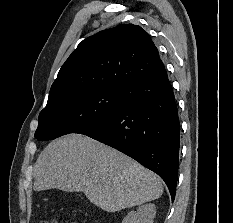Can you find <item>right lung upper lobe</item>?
<instances>
[{
    "label": "right lung upper lobe",
    "instance_id": "right-lung-upper-lobe-1",
    "mask_svg": "<svg viewBox=\"0 0 233 223\" xmlns=\"http://www.w3.org/2000/svg\"><path fill=\"white\" fill-rule=\"evenodd\" d=\"M164 64L148 33L121 24L83 40L61 67L48 102L92 88H124L161 70Z\"/></svg>",
    "mask_w": 233,
    "mask_h": 223
}]
</instances>
